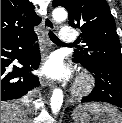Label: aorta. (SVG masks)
Returning a JSON list of instances; mask_svg holds the SVG:
<instances>
[{"label":"aorta","instance_id":"obj_1","mask_svg":"<svg viewBox=\"0 0 122 123\" xmlns=\"http://www.w3.org/2000/svg\"><path fill=\"white\" fill-rule=\"evenodd\" d=\"M52 16L56 22H63L64 20H66L68 14L64 8H56L54 9ZM62 103H63V92L61 89L56 88L53 91L50 99L51 110L54 114L60 111Z\"/></svg>","mask_w":122,"mask_h":123}]
</instances>
